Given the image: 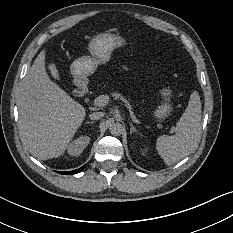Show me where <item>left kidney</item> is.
<instances>
[{"label": "left kidney", "instance_id": "5707ae66", "mask_svg": "<svg viewBox=\"0 0 233 233\" xmlns=\"http://www.w3.org/2000/svg\"><path fill=\"white\" fill-rule=\"evenodd\" d=\"M140 149H141L142 155H146V154H148L150 152V148L145 146V145L141 146Z\"/></svg>", "mask_w": 233, "mask_h": 233}]
</instances>
